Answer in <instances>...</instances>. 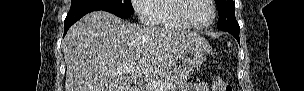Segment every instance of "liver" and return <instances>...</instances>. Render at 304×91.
I'll list each match as a JSON object with an SVG mask.
<instances>
[{
	"label": "liver",
	"instance_id": "obj_1",
	"mask_svg": "<svg viewBox=\"0 0 304 91\" xmlns=\"http://www.w3.org/2000/svg\"><path fill=\"white\" fill-rule=\"evenodd\" d=\"M200 42L206 41L195 32L146 27L109 12H91L63 41L65 91H130V82L116 74L117 69L135 65L139 74L159 77L176 65L188 46Z\"/></svg>",
	"mask_w": 304,
	"mask_h": 91
}]
</instances>
